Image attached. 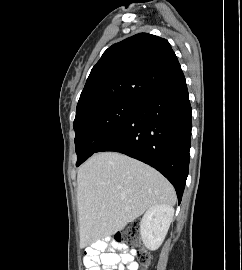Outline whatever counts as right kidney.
Segmentation results:
<instances>
[{"label": "right kidney", "instance_id": "1", "mask_svg": "<svg viewBox=\"0 0 242 270\" xmlns=\"http://www.w3.org/2000/svg\"><path fill=\"white\" fill-rule=\"evenodd\" d=\"M174 216L172 206L158 204L150 207L140 222V234L144 245L156 250L162 244Z\"/></svg>", "mask_w": 242, "mask_h": 270}]
</instances>
